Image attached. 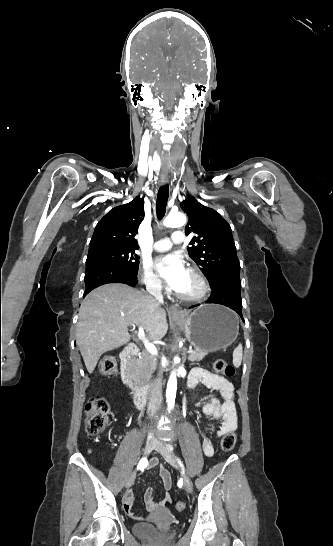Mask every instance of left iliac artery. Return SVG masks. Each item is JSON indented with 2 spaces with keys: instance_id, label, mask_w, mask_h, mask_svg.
I'll return each mask as SVG.
<instances>
[{
  "instance_id": "1",
  "label": "left iliac artery",
  "mask_w": 333,
  "mask_h": 546,
  "mask_svg": "<svg viewBox=\"0 0 333 546\" xmlns=\"http://www.w3.org/2000/svg\"><path fill=\"white\" fill-rule=\"evenodd\" d=\"M178 462H179L180 466L183 468V464L179 459H178Z\"/></svg>"
}]
</instances>
